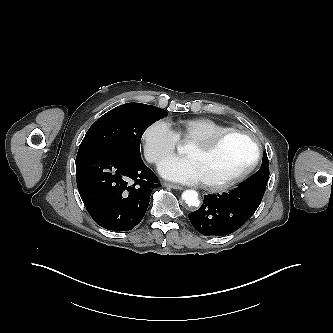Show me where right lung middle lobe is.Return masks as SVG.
<instances>
[{"instance_id":"obj_1","label":"right lung middle lobe","mask_w":333,"mask_h":333,"mask_svg":"<svg viewBox=\"0 0 333 333\" xmlns=\"http://www.w3.org/2000/svg\"><path fill=\"white\" fill-rule=\"evenodd\" d=\"M167 115L164 109L152 105H120L105 113L89 128L79 150L107 148L141 158L143 133L151 124Z\"/></svg>"}]
</instances>
